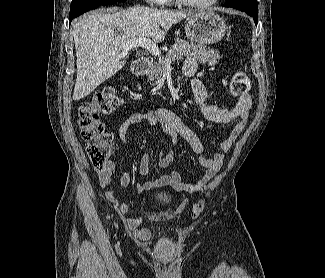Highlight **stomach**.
<instances>
[{
    "label": "stomach",
    "instance_id": "obj_1",
    "mask_svg": "<svg viewBox=\"0 0 325 278\" xmlns=\"http://www.w3.org/2000/svg\"><path fill=\"white\" fill-rule=\"evenodd\" d=\"M226 23L222 17L209 10H200L190 15L185 23L188 39L198 44H215L225 35Z\"/></svg>",
    "mask_w": 325,
    "mask_h": 278
}]
</instances>
